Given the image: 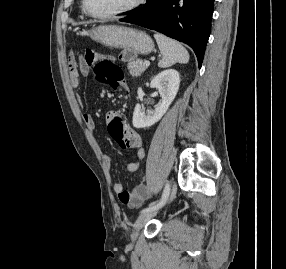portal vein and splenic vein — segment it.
Returning a JSON list of instances; mask_svg holds the SVG:
<instances>
[{
  "label": "portal vein and splenic vein",
  "mask_w": 286,
  "mask_h": 269,
  "mask_svg": "<svg viewBox=\"0 0 286 269\" xmlns=\"http://www.w3.org/2000/svg\"><path fill=\"white\" fill-rule=\"evenodd\" d=\"M144 64H145L146 66H149V65H150V62H149V61H145Z\"/></svg>",
  "instance_id": "1"
}]
</instances>
